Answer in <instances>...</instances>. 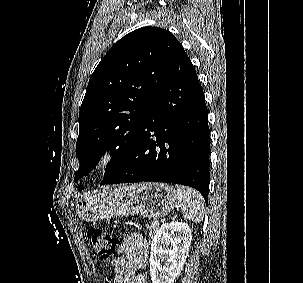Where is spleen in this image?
<instances>
[{"label":"spleen","mask_w":303,"mask_h":283,"mask_svg":"<svg viewBox=\"0 0 303 283\" xmlns=\"http://www.w3.org/2000/svg\"><path fill=\"white\" fill-rule=\"evenodd\" d=\"M177 204L181 210V214L185 219L200 223L204 218V200L196 190L176 185Z\"/></svg>","instance_id":"spleen-1"}]
</instances>
